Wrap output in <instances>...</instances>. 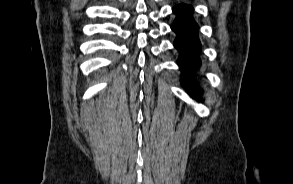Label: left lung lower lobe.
<instances>
[{
	"label": "left lung lower lobe",
	"instance_id": "1",
	"mask_svg": "<svg viewBox=\"0 0 293 184\" xmlns=\"http://www.w3.org/2000/svg\"><path fill=\"white\" fill-rule=\"evenodd\" d=\"M173 12L177 15L171 25L172 30L177 34L174 46L181 53L178 64L184 73H191L200 65L199 53L201 51L198 26L192 17L193 8L186 4H179L173 8ZM185 88L194 95L198 93L191 83L185 85Z\"/></svg>",
	"mask_w": 293,
	"mask_h": 184
}]
</instances>
